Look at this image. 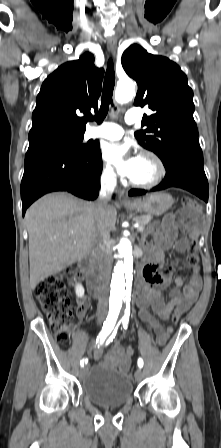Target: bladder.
Listing matches in <instances>:
<instances>
[{"label": "bladder", "mask_w": 221, "mask_h": 448, "mask_svg": "<svg viewBox=\"0 0 221 448\" xmlns=\"http://www.w3.org/2000/svg\"><path fill=\"white\" fill-rule=\"evenodd\" d=\"M81 388L85 397L103 407L123 406L134 393L130 377L108 363H98L87 370Z\"/></svg>", "instance_id": "1"}]
</instances>
